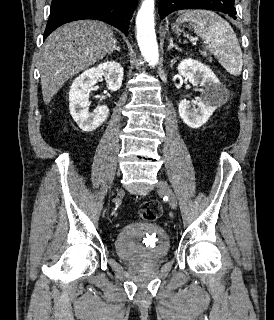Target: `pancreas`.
Segmentation results:
<instances>
[{
	"label": "pancreas",
	"instance_id": "cf45deb5",
	"mask_svg": "<svg viewBox=\"0 0 274 320\" xmlns=\"http://www.w3.org/2000/svg\"><path fill=\"white\" fill-rule=\"evenodd\" d=\"M202 56H208L207 52H201ZM209 62H213L212 58H209Z\"/></svg>",
	"mask_w": 274,
	"mask_h": 320
}]
</instances>
